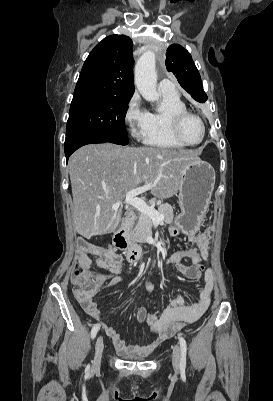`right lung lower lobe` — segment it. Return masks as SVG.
<instances>
[{"label":"right lung lower lobe","mask_w":273,"mask_h":401,"mask_svg":"<svg viewBox=\"0 0 273 401\" xmlns=\"http://www.w3.org/2000/svg\"><path fill=\"white\" fill-rule=\"evenodd\" d=\"M109 141L104 140V139H100V138H96L94 136H76V137H72L69 139L65 140V146H64V151H65V156L66 159L69 158V156L78 148H80L81 146L87 145V144H91V143H107Z\"/></svg>","instance_id":"1"}]
</instances>
